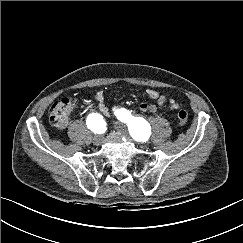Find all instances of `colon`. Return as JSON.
Returning a JSON list of instances; mask_svg holds the SVG:
<instances>
[{
    "mask_svg": "<svg viewBox=\"0 0 243 243\" xmlns=\"http://www.w3.org/2000/svg\"><path fill=\"white\" fill-rule=\"evenodd\" d=\"M76 98L73 96L63 97L54 102L49 110V119L51 124L57 129H64L71 118L75 109ZM188 115L186 111L181 110L177 113V123L183 126L187 123Z\"/></svg>",
    "mask_w": 243,
    "mask_h": 243,
    "instance_id": "obj_1",
    "label": "colon"
}]
</instances>
